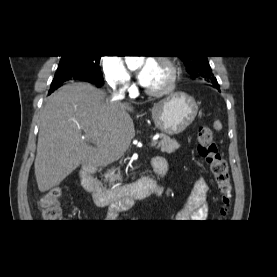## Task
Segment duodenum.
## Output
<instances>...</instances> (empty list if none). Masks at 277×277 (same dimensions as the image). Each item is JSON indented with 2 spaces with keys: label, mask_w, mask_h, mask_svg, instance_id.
<instances>
[{
  "label": "duodenum",
  "mask_w": 277,
  "mask_h": 277,
  "mask_svg": "<svg viewBox=\"0 0 277 277\" xmlns=\"http://www.w3.org/2000/svg\"><path fill=\"white\" fill-rule=\"evenodd\" d=\"M154 161L166 174L168 166L165 161L160 157H155ZM93 170L94 167L91 165L83 166L80 171V179L84 188L93 194L95 204L98 207L114 205L117 209H127L131 207L135 199H143L151 194H159L162 189L157 181L145 177L118 189L109 190L94 177Z\"/></svg>",
  "instance_id": "obj_1"
}]
</instances>
